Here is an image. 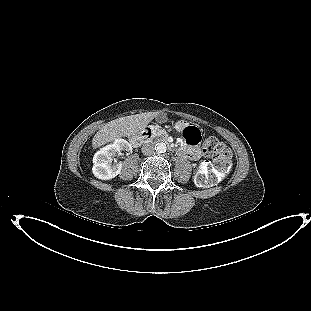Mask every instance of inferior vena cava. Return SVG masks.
Here are the masks:
<instances>
[{"mask_svg":"<svg viewBox=\"0 0 311 311\" xmlns=\"http://www.w3.org/2000/svg\"><path fill=\"white\" fill-rule=\"evenodd\" d=\"M142 153L144 155H153L155 153V148H154L153 144H151V143L144 144L142 147Z\"/></svg>","mask_w":311,"mask_h":311,"instance_id":"inferior-vena-cava-1","label":"inferior vena cava"}]
</instances>
